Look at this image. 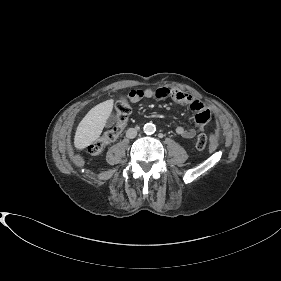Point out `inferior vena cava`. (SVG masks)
I'll use <instances>...</instances> for the list:
<instances>
[{
  "mask_svg": "<svg viewBox=\"0 0 281 281\" xmlns=\"http://www.w3.org/2000/svg\"><path fill=\"white\" fill-rule=\"evenodd\" d=\"M137 135V130L135 128H129L126 131V137L129 139L135 138Z\"/></svg>",
  "mask_w": 281,
  "mask_h": 281,
  "instance_id": "1",
  "label": "inferior vena cava"
}]
</instances>
